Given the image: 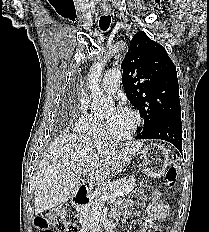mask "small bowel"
<instances>
[{
	"mask_svg": "<svg viewBox=\"0 0 209 232\" xmlns=\"http://www.w3.org/2000/svg\"><path fill=\"white\" fill-rule=\"evenodd\" d=\"M135 198L140 199V191L144 190V185H135ZM127 211L129 209L127 208ZM118 212H114V216H117ZM168 211L166 205L161 200L160 192L150 187L149 201L147 204V215L145 218V227L139 232H161L159 222L167 218Z\"/></svg>",
	"mask_w": 209,
	"mask_h": 232,
	"instance_id": "c3829d8e",
	"label": "small bowel"
}]
</instances>
